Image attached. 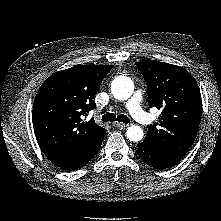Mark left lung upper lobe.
Instances as JSON below:
<instances>
[{
	"label": "left lung upper lobe",
	"mask_w": 221,
	"mask_h": 221,
	"mask_svg": "<svg viewBox=\"0 0 221 221\" xmlns=\"http://www.w3.org/2000/svg\"><path fill=\"white\" fill-rule=\"evenodd\" d=\"M135 64L146 81L149 106L162 110L159 122L147 126L143 142L182 158L192 145L201 120L199 87L183 67L154 60Z\"/></svg>",
	"instance_id": "5c2ea615"
}]
</instances>
